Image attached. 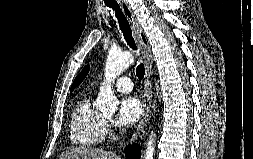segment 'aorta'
I'll return each instance as SVG.
<instances>
[{"label":"aorta","mask_w":253,"mask_h":159,"mask_svg":"<svg viewBox=\"0 0 253 159\" xmlns=\"http://www.w3.org/2000/svg\"><path fill=\"white\" fill-rule=\"evenodd\" d=\"M134 62V57L130 52L110 51L105 65V80L100 87V91L95 102V106L102 112L115 113L119 101L112 90V83L130 64ZM155 152V134L151 132L146 144L144 159H153Z\"/></svg>","instance_id":"aorta-1"}]
</instances>
